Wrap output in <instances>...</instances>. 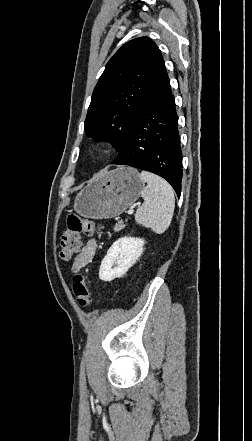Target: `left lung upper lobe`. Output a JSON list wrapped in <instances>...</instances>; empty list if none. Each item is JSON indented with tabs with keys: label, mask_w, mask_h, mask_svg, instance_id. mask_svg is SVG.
Wrapping results in <instances>:
<instances>
[{
	"label": "left lung upper lobe",
	"mask_w": 252,
	"mask_h": 441,
	"mask_svg": "<svg viewBox=\"0 0 252 441\" xmlns=\"http://www.w3.org/2000/svg\"><path fill=\"white\" fill-rule=\"evenodd\" d=\"M162 55L148 37L125 43L109 60L92 95L85 120L87 136L120 151L150 88Z\"/></svg>",
	"instance_id": "left-lung-upper-lobe-1"
}]
</instances>
